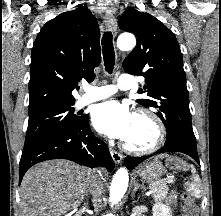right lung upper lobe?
<instances>
[{
    "instance_id": "right-lung-upper-lobe-1",
    "label": "right lung upper lobe",
    "mask_w": 221,
    "mask_h": 216,
    "mask_svg": "<svg viewBox=\"0 0 221 216\" xmlns=\"http://www.w3.org/2000/svg\"><path fill=\"white\" fill-rule=\"evenodd\" d=\"M100 61L99 26L87 7L48 21L32 49L29 115L74 104L71 92L82 78H95L93 70Z\"/></svg>"
}]
</instances>
